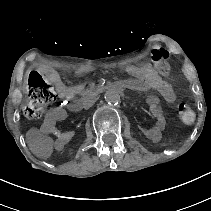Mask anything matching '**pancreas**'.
I'll list each match as a JSON object with an SVG mask.
<instances>
[{
    "mask_svg": "<svg viewBox=\"0 0 211 211\" xmlns=\"http://www.w3.org/2000/svg\"><path fill=\"white\" fill-rule=\"evenodd\" d=\"M92 94H93V89H92V88L83 90V91L81 92V98H82V100L85 102V101H87V100L90 98V96H91Z\"/></svg>",
    "mask_w": 211,
    "mask_h": 211,
    "instance_id": "cf45deb5",
    "label": "pancreas"
}]
</instances>
